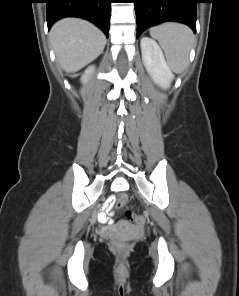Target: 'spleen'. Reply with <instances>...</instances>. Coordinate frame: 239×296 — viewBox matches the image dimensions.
Listing matches in <instances>:
<instances>
[{
	"label": "spleen",
	"mask_w": 239,
	"mask_h": 296,
	"mask_svg": "<svg viewBox=\"0 0 239 296\" xmlns=\"http://www.w3.org/2000/svg\"><path fill=\"white\" fill-rule=\"evenodd\" d=\"M150 35L158 40L171 70L175 73L183 72L188 65L194 42L191 29L178 23H164L151 28Z\"/></svg>",
	"instance_id": "obj_1"
}]
</instances>
